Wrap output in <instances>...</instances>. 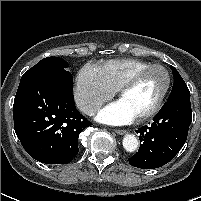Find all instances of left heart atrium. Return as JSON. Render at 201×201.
<instances>
[{"instance_id":"1","label":"left heart atrium","mask_w":201,"mask_h":201,"mask_svg":"<svg viewBox=\"0 0 201 201\" xmlns=\"http://www.w3.org/2000/svg\"><path fill=\"white\" fill-rule=\"evenodd\" d=\"M97 118L99 121L106 124L124 125L132 122L136 116L121 100H119L102 109Z\"/></svg>"}]
</instances>
